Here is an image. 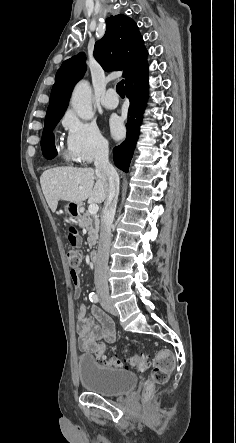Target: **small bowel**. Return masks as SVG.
<instances>
[{
	"mask_svg": "<svg viewBox=\"0 0 236 443\" xmlns=\"http://www.w3.org/2000/svg\"><path fill=\"white\" fill-rule=\"evenodd\" d=\"M78 280L74 282V296L81 295V286L79 280V270H77ZM91 314L93 319L98 322L96 325L93 320L87 316V307L83 304L79 305L76 312L77 317V333L79 347L87 352H92L94 346L99 340L107 343H113L116 334L111 318L96 306H92Z\"/></svg>",
	"mask_w": 236,
	"mask_h": 443,
	"instance_id": "small-bowel-1",
	"label": "small bowel"
}]
</instances>
